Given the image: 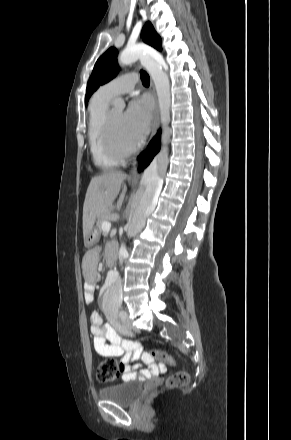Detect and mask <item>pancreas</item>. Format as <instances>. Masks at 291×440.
I'll return each instance as SVG.
<instances>
[{
    "mask_svg": "<svg viewBox=\"0 0 291 440\" xmlns=\"http://www.w3.org/2000/svg\"><path fill=\"white\" fill-rule=\"evenodd\" d=\"M107 219H108V214L106 211L98 215L97 223H96L98 233L102 232V223Z\"/></svg>",
    "mask_w": 291,
    "mask_h": 440,
    "instance_id": "obj_1",
    "label": "pancreas"
}]
</instances>
